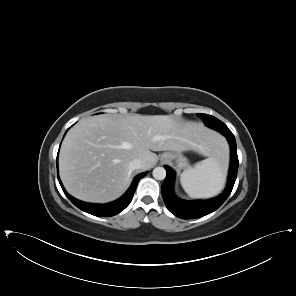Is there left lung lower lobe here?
<instances>
[{
	"label": "left lung lower lobe",
	"instance_id": "left-lung-lower-lobe-1",
	"mask_svg": "<svg viewBox=\"0 0 296 296\" xmlns=\"http://www.w3.org/2000/svg\"><path fill=\"white\" fill-rule=\"evenodd\" d=\"M220 132L225 135L229 141L231 148V162L227 187L224 193L218 197L204 201H183L178 199L173 193L175 173L170 167L164 166L167 171V176L162 184V195L168 210L175 216L182 219H191L208 215L218 209L230 195L238 171L239 162L237 156V146L235 137L231 131L221 130Z\"/></svg>",
	"mask_w": 296,
	"mask_h": 296
}]
</instances>
